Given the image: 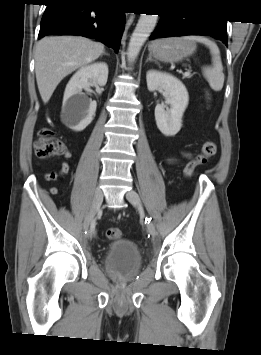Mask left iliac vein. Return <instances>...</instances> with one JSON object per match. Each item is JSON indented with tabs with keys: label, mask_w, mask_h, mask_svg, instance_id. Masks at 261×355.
Wrapping results in <instances>:
<instances>
[{
	"label": "left iliac vein",
	"mask_w": 261,
	"mask_h": 355,
	"mask_svg": "<svg viewBox=\"0 0 261 355\" xmlns=\"http://www.w3.org/2000/svg\"><path fill=\"white\" fill-rule=\"evenodd\" d=\"M126 199L134 206L137 208V210L139 211V213L144 216V210H143V206H142V203H141V200H140V197L139 195L131 190L129 192L126 193ZM147 229H148V232L152 235V236H155L156 235V230H155V227L153 225V223H150L147 225Z\"/></svg>",
	"instance_id": "1"
}]
</instances>
